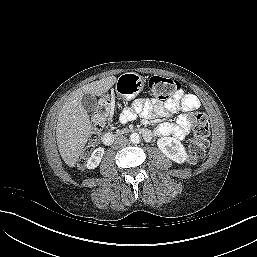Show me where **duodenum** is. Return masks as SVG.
<instances>
[{"label": "duodenum", "mask_w": 257, "mask_h": 257, "mask_svg": "<svg viewBox=\"0 0 257 257\" xmlns=\"http://www.w3.org/2000/svg\"><path fill=\"white\" fill-rule=\"evenodd\" d=\"M141 132L145 138L147 139L150 138L151 133L148 129H143ZM114 139H115V135L112 132H106L102 136V142L104 145H107V146L111 145L114 142Z\"/></svg>", "instance_id": "duodenum-1"}]
</instances>
